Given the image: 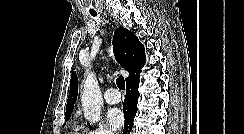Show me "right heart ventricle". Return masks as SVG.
<instances>
[{
  "label": "right heart ventricle",
  "mask_w": 244,
  "mask_h": 134,
  "mask_svg": "<svg viewBox=\"0 0 244 134\" xmlns=\"http://www.w3.org/2000/svg\"><path fill=\"white\" fill-rule=\"evenodd\" d=\"M69 134H88V131L84 130L82 127L78 125H74Z\"/></svg>",
  "instance_id": "1"
}]
</instances>
